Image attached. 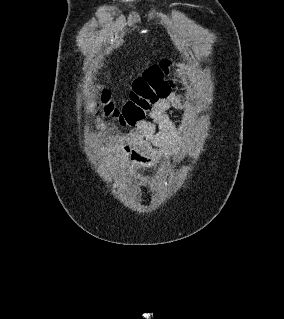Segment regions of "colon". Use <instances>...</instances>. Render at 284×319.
I'll use <instances>...</instances> for the list:
<instances>
[{
  "mask_svg": "<svg viewBox=\"0 0 284 319\" xmlns=\"http://www.w3.org/2000/svg\"><path fill=\"white\" fill-rule=\"evenodd\" d=\"M173 87L171 64L162 62L151 66L133 81L129 99L122 107H116L109 95L103 93L96 103L95 111L122 129L134 127L145 121L153 106L159 100L167 98Z\"/></svg>",
  "mask_w": 284,
  "mask_h": 319,
  "instance_id": "5ec220e1",
  "label": "colon"
}]
</instances>
